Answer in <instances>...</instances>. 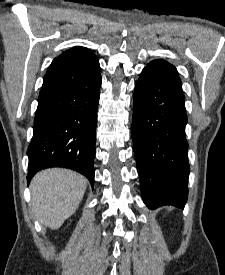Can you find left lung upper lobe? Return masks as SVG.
<instances>
[{"instance_id":"1","label":"left lung upper lobe","mask_w":225,"mask_h":275,"mask_svg":"<svg viewBox=\"0 0 225 275\" xmlns=\"http://www.w3.org/2000/svg\"><path fill=\"white\" fill-rule=\"evenodd\" d=\"M144 69L182 87V82L176 68L163 59L151 61Z\"/></svg>"}]
</instances>
